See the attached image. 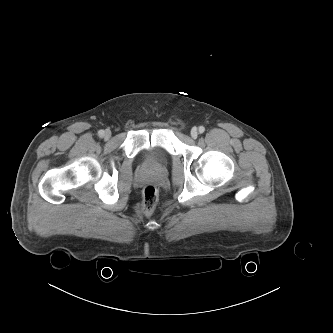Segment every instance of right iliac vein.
Wrapping results in <instances>:
<instances>
[{
    "instance_id": "right-iliac-vein-1",
    "label": "right iliac vein",
    "mask_w": 333,
    "mask_h": 333,
    "mask_svg": "<svg viewBox=\"0 0 333 333\" xmlns=\"http://www.w3.org/2000/svg\"><path fill=\"white\" fill-rule=\"evenodd\" d=\"M103 137L108 140L111 137V132L109 130L105 131Z\"/></svg>"
}]
</instances>
